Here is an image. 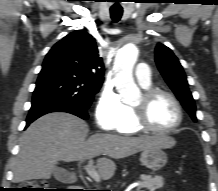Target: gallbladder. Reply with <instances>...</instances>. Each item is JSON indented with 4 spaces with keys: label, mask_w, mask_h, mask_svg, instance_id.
I'll list each match as a JSON object with an SVG mask.
<instances>
[{
    "label": "gallbladder",
    "mask_w": 218,
    "mask_h": 191,
    "mask_svg": "<svg viewBox=\"0 0 218 191\" xmlns=\"http://www.w3.org/2000/svg\"><path fill=\"white\" fill-rule=\"evenodd\" d=\"M54 177L57 180H62V175L63 174H68L65 170L61 169V168H55L53 171Z\"/></svg>",
    "instance_id": "bac80fb5"
}]
</instances>
